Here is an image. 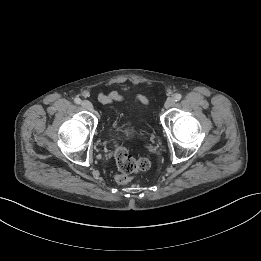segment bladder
<instances>
[{"label":"bladder","instance_id":"bladder-1","mask_svg":"<svg viewBox=\"0 0 261 261\" xmlns=\"http://www.w3.org/2000/svg\"><path fill=\"white\" fill-rule=\"evenodd\" d=\"M110 130L116 138L133 137L137 132L135 123L125 113H117L112 118Z\"/></svg>","mask_w":261,"mask_h":261}]
</instances>
